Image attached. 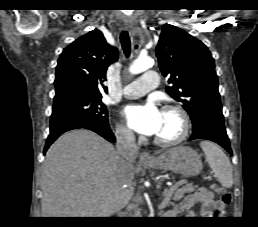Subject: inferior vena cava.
Here are the masks:
<instances>
[{
    "label": "inferior vena cava",
    "mask_w": 258,
    "mask_h": 227,
    "mask_svg": "<svg viewBox=\"0 0 258 227\" xmlns=\"http://www.w3.org/2000/svg\"><path fill=\"white\" fill-rule=\"evenodd\" d=\"M117 153L120 155L119 165L123 168L132 167L138 156V146L135 142L133 132L127 129L116 131Z\"/></svg>",
    "instance_id": "1"
}]
</instances>
